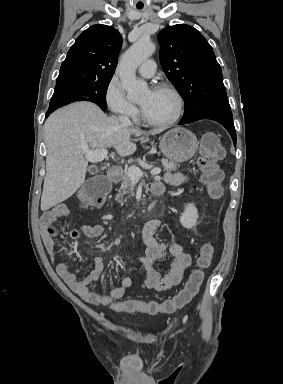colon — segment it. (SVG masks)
Returning a JSON list of instances; mask_svg holds the SVG:
<instances>
[{"label":"colon","instance_id":"1","mask_svg":"<svg viewBox=\"0 0 283 384\" xmlns=\"http://www.w3.org/2000/svg\"><path fill=\"white\" fill-rule=\"evenodd\" d=\"M223 156V148L218 136L206 134L202 139L199 165L202 172V182L210 196L217 199L222 194L223 174L217 166V161ZM110 189V183L102 176L89 179L81 188L78 199L83 207L101 205ZM213 257V247L203 244L197 258V268L192 271L184 288L172 299L162 303L145 302L141 300H124L113 305V310L120 313L143 312L149 314L173 313L187 305L199 292L204 279V269L209 267Z\"/></svg>","mask_w":283,"mask_h":384}]
</instances>
